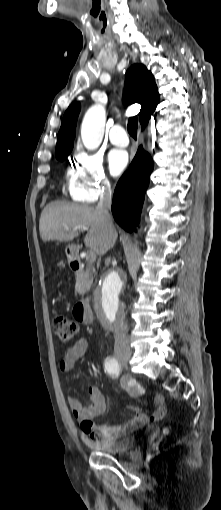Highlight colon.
I'll return each instance as SVG.
<instances>
[{"instance_id":"5ec220e1","label":"colon","mask_w":221,"mask_h":510,"mask_svg":"<svg viewBox=\"0 0 221 510\" xmlns=\"http://www.w3.org/2000/svg\"><path fill=\"white\" fill-rule=\"evenodd\" d=\"M52 329L62 343L69 344L75 339L79 328L75 321L65 316H56L52 320ZM165 432H167V430H165ZM100 439L101 438L98 437L97 442H99Z\"/></svg>"}]
</instances>
